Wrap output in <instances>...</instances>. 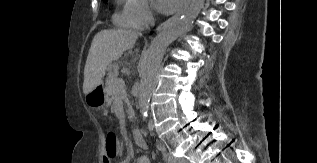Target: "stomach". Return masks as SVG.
<instances>
[{"instance_id":"stomach-1","label":"stomach","mask_w":317,"mask_h":163,"mask_svg":"<svg viewBox=\"0 0 317 163\" xmlns=\"http://www.w3.org/2000/svg\"><path fill=\"white\" fill-rule=\"evenodd\" d=\"M108 100L107 93L103 84L96 86L90 93L86 95V103L92 107H103Z\"/></svg>"}]
</instances>
